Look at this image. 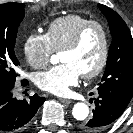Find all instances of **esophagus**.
Wrapping results in <instances>:
<instances>
[{"label": "esophagus", "instance_id": "1", "mask_svg": "<svg viewBox=\"0 0 133 133\" xmlns=\"http://www.w3.org/2000/svg\"><path fill=\"white\" fill-rule=\"evenodd\" d=\"M59 100L62 102V103H65V104H70L72 101L70 99H65V98H59Z\"/></svg>", "mask_w": 133, "mask_h": 133}]
</instances>
